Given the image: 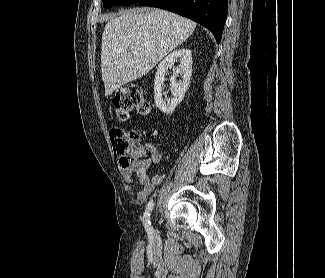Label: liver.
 Segmentation results:
<instances>
[{"instance_id": "1", "label": "liver", "mask_w": 325, "mask_h": 278, "mask_svg": "<svg viewBox=\"0 0 325 278\" xmlns=\"http://www.w3.org/2000/svg\"><path fill=\"white\" fill-rule=\"evenodd\" d=\"M195 27L190 19L161 9L137 8L110 18L101 47L105 96L145 76Z\"/></svg>"}]
</instances>
